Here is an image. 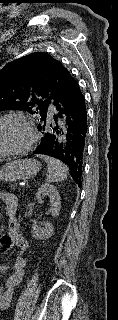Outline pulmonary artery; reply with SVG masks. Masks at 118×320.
<instances>
[{
    "mask_svg": "<svg viewBox=\"0 0 118 320\" xmlns=\"http://www.w3.org/2000/svg\"><path fill=\"white\" fill-rule=\"evenodd\" d=\"M50 111L52 112V111H53V109H52V108H50Z\"/></svg>",
    "mask_w": 118,
    "mask_h": 320,
    "instance_id": "pulmonary-artery-1",
    "label": "pulmonary artery"
}]
</instances>
